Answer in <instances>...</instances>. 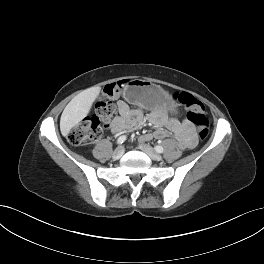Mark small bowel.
I'll return each instance as SVG.
<instances>
[{"label":"small bowel","instance_id":"1","mask_svg":"<svg viewBox=\"0 0 264 264\" xmlns=\"http://www.w3.org/2000/svg\"><path fill=\"white\" fill-rule=\"evenodd\" d=\"M117 107L119 116L111 124V130L114 133L131 130L142 125L144 115L141 109H132L123 100L117 102ZM149 119L155 130L152 133L143 135L141 141L163 139L173 135L176 137L179 146L183 149H192L196 146L197 136L194 126L188 120H178L169 117L163 110L152 111L149 114Z\"/></svg>","mask_w":264,"mask_h":264}]
</instances>
